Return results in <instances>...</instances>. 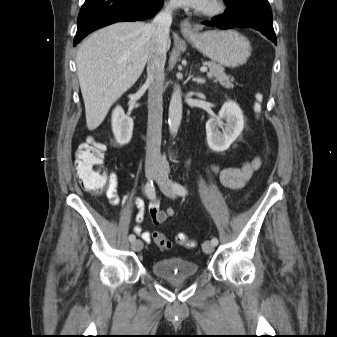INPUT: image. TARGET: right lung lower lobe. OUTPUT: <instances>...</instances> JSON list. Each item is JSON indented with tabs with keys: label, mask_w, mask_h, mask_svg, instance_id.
I'll return each instance as SVG.
<instances>
[{
	"label": "right lung lower lobe",
	"mask_w": 337,
	"mask_h": 337,
	"mask_svg": "<svg viewBox=\"0 0 337 337\" xmlns=\"http://www.w3.org/2000/svg\"><path fill=\"white\" fill-rule=\"evenodd\" d=\"M162 4L163 0H85L78 16L74 46L89 33L109 24L145 20Z\"/></svg>",
	"instance_id": "obj_1"
}]
</instances>
